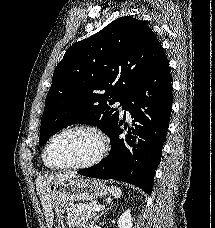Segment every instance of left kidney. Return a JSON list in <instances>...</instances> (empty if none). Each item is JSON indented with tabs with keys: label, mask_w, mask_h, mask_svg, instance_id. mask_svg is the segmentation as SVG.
Segmentation results:
<instances>
[{
	"label": "left kidney",
	"mask_w": 215,
	"mask_h": 228,
	"mask_svg": "<svg viewBox=\"0 0 215 228\" xmlns=\"http://www.w3.org/2000/svg\"><path fill=\"white\" fill-rule=\"evenodd\" d=\"M133 218L131 216V210H126L124 214H121L118 220V228H132Z\"/></svg>",
	"instance_id": "1"
}]
</instances>
